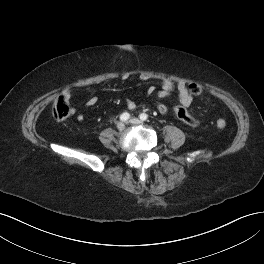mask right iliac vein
Returning a JSON list of instances; mask_svg holds the SVG:
<instances>
[{"instance_id": "63e3f726", "label": "right iliac vein", "mask_w": 264, "mask_h": 264, "mask_svg": "<svg viewBox=\"0 0 264 264\" xmlns=\"http://www.w3.org/2000/svg\"><path fill=\"white\" fill-rule=\"evenodd\" d=\"M117 128L119 131H123L125 129V124L123 122H119L117 124Z\"/></svg>"}]
</instances>
